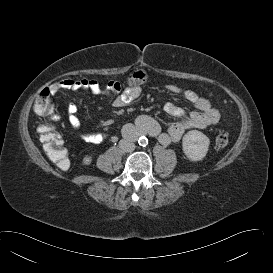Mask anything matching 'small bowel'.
<instances>
[{"label": "small bowel", "mask_w": 273, "mask_h": 273, "mask_svg": "<svg viewBox=\"0 0 273 273\" xmlns=\"http://www.w3.org/2000/svg\"><path fill=\"white\" fill-rule=\"evenodd\" d=\"M58 84L61 88L85 89L94 95L103 93L100 83L93 79H66L58 82ZM166 89L173 93L182 94L184 99L192 103L199 111L185 113L180 106L171 102L165 103L163 111L177 118L175 122L168 126L166 131H162L161 125L156 120L146 115L139 116L136 120V125L145 129L150 135L157 137L161 144L168 145L171 142H178L189 129L206 128L218 123L220 113L206 99L199 97L191 90H183L176 85H167ZM106 91L119 94L113 101L116 107H123L141 95V88L138 86L126 88L121 92V85L115 81H110L106 85ZM77 110L78 108L75 104L68 106L69 122L72 128L79 132L81 137L87 142L99 143L104 140L106 135L102 132H85L81 130V121L77 116Z\"/></svg>", "instance_id": "small-bowel-1"}]
</instances>
